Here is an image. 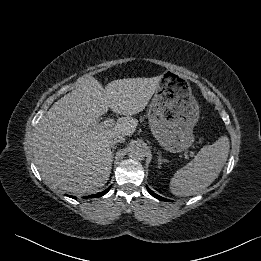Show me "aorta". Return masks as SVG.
<instances>
[{
    "label": "aorta",
    "mask_w": 261,
    "mask_h": 261,
    "mask_svg": "<svg viewBox=\"0 0 261 261\" xmlns=\"http://www.w3.org/2000/svg\"><path fill=\"white\" fill-rule=\"evenodd\" d=\"M128 155L133 160L141 161L146 155L145 148L139 143L133 144L129 148Z\"/></svg>",
    "instance_id": "aorta-1"
}]
</instances>
